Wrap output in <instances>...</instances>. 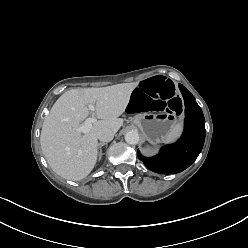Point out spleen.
Segmentation results:
<instances>
[{
  "label": "spleen",
  "mask_w": 248,
  "mask_h": 248,
  "mask_svg": "<svg viewBox=\"0 0 248 248\" xmlns=\"http://www.w3.org/2000/svg\"><path fill=\"white\" fill-rule=\"evenodd\" d=\"M181 131H182V125L180 123L174 125V127L171 129V131L167 135L165 139V143L174 142L181 134Z\"/></svg>",
  "instance_id": "3e777b00"
}]
</instances>
